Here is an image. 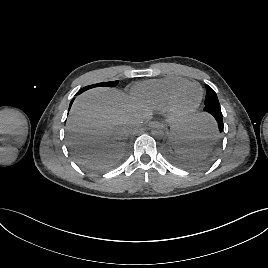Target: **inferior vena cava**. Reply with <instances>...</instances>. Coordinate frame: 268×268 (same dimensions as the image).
<instances>
[{
  "instance_id": "inferior-vena-cava-1",
  "label": "inferior vena cava",
  "mask_w": 268,
  "mask_h": 268,
  "mask_svg": "<svg viewBox=\"0 0 268 268\" xmlns=\"http://www.w3.org/2000/svg\"><path fill=\"white\" fill-rule=\"evenodd\" d=\"M139 125H140L139 121L133 123V127H131V132H136V128H138Z\"/></svg>"
}]
</instances>
